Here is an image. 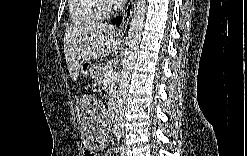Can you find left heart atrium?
<instances>
[{
  "label": "left heart atrium",
  "instance_id": "left-heart-atrium-1",
  "mask_svg": "<svg viewBox=\"0 0 247 156\" xmlns=\"http://www.w3.org/2000/svg\"><path fill=\"white\" fill-rule=\"evenodd\" d=\"M113 4H117V5H120V4H123L124 1L123 0H114L112 1Z\"/></svg>",
  "mask_w": 247,
  "mask_h": 156
}]
</instances>
